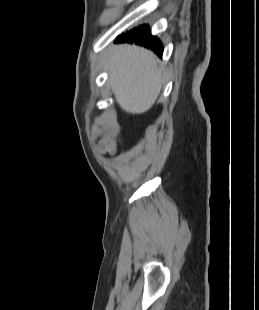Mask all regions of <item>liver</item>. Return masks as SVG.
<instances>
[{
	"mask_svg": "<svg viewBox=\"0 0 259 310\" xmlns=\"http://www.w3.org/2000/svg\"><path fill=\"white\" fill-rule=\"evenodd\" d=\"M105 59L111 89L120 107L132 114L148 111L163 81L156 56L143 47L126 44L110 46Z\"/></svg>",
	"mask_w": 259,
	"mask_h": 310,
	"instance_id": "1",
	"label": "liver"
}]
</instances>
